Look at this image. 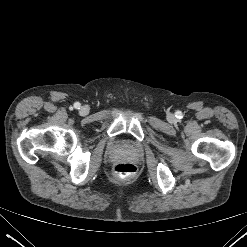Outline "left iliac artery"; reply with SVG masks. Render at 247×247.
<instances>
[{"instance_id":"1","label":"left iliac artery","mask_w":247,"mask_h":247,"mask_svg":"<svg viewBox=\"0 0 247 247\" xmlns=\"http://www.w3.org/2000/svg\"><path fill=\"white\" fill-rule=\"evenodd\" d=\"M176 117L177 118H181L182 117V112L181 111H177L176 112Z\"/></svg>"}]
</instances>
